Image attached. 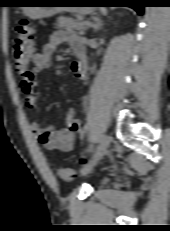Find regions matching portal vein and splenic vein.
Here are the masks:
<instances>
[{"mask_svg": "<svg viewBox=\"0 0 170 231\" xmlns=\"http://www.w3.org/2000/svg\"><path fill=\"white\" fill-rule=\"evenodd\" d=\"M85 24H86L87 26H91V25H92V23H90V22H85Z\"/></svg>", "mask_w": 170, "mask_h": 231, "instance_id": "obj_1", "label": "portal vein and splenic vein"}]
</instances>
